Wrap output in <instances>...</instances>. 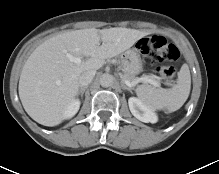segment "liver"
I'll return each mask as SVG.
<instances>
[{"label": "liver", "instance_id": "obj_1", "mask_svg": "<svg viewBox=\"0 0 219 174\" xmlns=\"http://www.w3.org/2000/svg\"><path fill=\"white\" fill-rule=\"evenodd\" d=\"M146 34L122 27L89 28L47 39L31 53L20 75L18 90L25 111L39 124H60L78 94L81 74L100 69L106 59L121 54ZM67 54L88 58L75 63Z\"/></svg>", "mask_w": 219, "mask_h": 174}]
</instances>
